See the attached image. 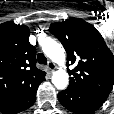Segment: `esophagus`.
<instances>
[{
  "label": "esophagus",
  "instance_id": "34e87169",
  "mask_svg": "<svg viewBox=\"0 0 114 114\" xmlns=\"http://www.w3.org/2000/svg\"><path fill=\"white\" fill-rule=\"evenodd\" d=\"M47 68H48V71L50 73H52L56 69V64L52 61H49L48 65H47Z\"/></svg>",
  "mask_w": 114,
  "mask_h": 114
}]
</instances>
